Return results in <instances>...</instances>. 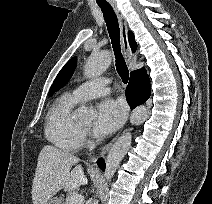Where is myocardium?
<instances>
[{
    "label": "myocardium",
    "instance_id": "myocardium-1",
    "mask_svg": "<svg viewBox=\"0 0 212 204\" xmlns=\"http://www.w3.org/2000/svg\"><path fill=\"white\" fill-rule=\"evenodd\" d=\"M80 127H81L82 130H87V128H85V127H83V126H80Z\"/></svg>",
    "mask_w": 212,
    "mask_h": 204
}]
</instances>
